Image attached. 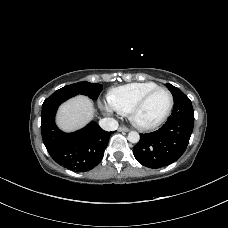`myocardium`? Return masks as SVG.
I'll use <instances>...</instances> for the list:
<instances>
[{
  "instance_id": "1",
  "label": "myocardium",
  "mask_w": 228,
  "mask_h": 228,
  "mask_svg": "<svg viewBox=\"0 0 228 228\" xmlns=\"http://www.w3.org/2000/svg\"><path fill=\"white\" fill-rule=\"evenodd\" d=\"M158 91H165L169 96V105H168L166 112L158 121H156L152 124H141L137 120L138 112L145 105V103L148 101V99ZM173 106H174V98H173L172 93L167 88L159 86V87H156V88L150 90L149 92H147L142 98H140L135 103V105L132 107V109L129 112L130 120L133 123V125L140 130H143V131L154 130V129L158 128L159 126H161L168 119V117L170 116V114L172 112Z\"/></svg>"
}]
</instances>
